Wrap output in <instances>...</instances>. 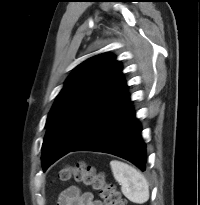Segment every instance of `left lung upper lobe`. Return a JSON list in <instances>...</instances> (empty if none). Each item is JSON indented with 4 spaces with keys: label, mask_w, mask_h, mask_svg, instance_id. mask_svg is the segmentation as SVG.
Masks as SVG:
<instances>
[{
    "label": "left lung upper lobe",
    "mask_w": 200,
    "mask_h": 205,
    "mask_svg": "<svg viewBox=\"0 0 200 205\" xmlns=\"http://www.w3.org/2000/svg\"><path fill=\"white\" fill-rule=\"evenodd\" d=\"M121 64L103 53L75 68L48 115L42 145L45 171L70 152L107 110L125 84Z\"/></svg>",
    "instance_id": "5c2ea615"
}]
</instances>
